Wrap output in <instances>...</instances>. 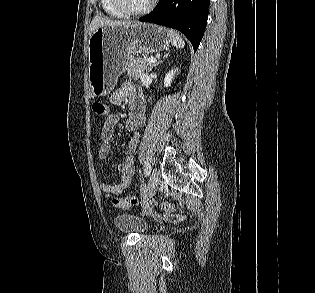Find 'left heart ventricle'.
<instances>
[{
	"label": "left heart ventricle",
	"instance_id": "left-heart-ventricle-1",
	"mask_svg": "<svg viewBox=\"0 0 315 293\" xmlns=\"http://www.w3.org/2000/svg\"><path fill=\"white\" fill-rule=\"evenodd\" d=\"M126 2L131 9L140 10L146 7L150 0H126Z\"/></svg>",
	"mask_w": 315,
	"mask_h": 293
}]
</instances>
